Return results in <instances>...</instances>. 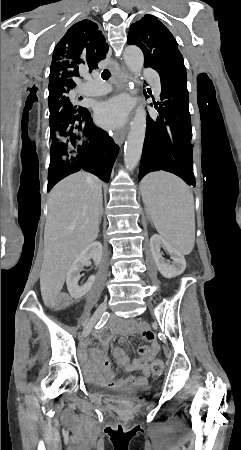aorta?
Listing matches in <instances>:
<instances>
[{"label":"aorta","instance_id":"1","mask_svg":"<svg viewBox=\"0 0 241 450\" xmlns=\"http://www.w3.org/2000/svg\"><path fill=\"white\" fill-rule=\"evenodd\" d=\"M124 60L127 67L137 78L144 64L142 51L136 46H128L124 50ZM146 115V110L140 105L136 108L130 123V130L124 147V163L129 170H133L138 165L142 155L146 134Z\"/></svg>","mask_w":241,"mask_h":450}]
</instances>
